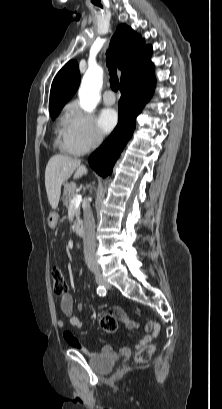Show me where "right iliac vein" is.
Wrapping results in <instances>:
<instances>
[{
	"mask_svg": "<svg viewBox=\"0 0 222 409\" xmlns=\"http://www.w3.org/2000/svg\"><path fill=\"white\" fill-rule=\"evenodd\" d=\"M96 282L104 287H109L110 284L108 283V281L106 280L105 277H103L102 275H96Z\"/></svg>",
	"mask_w": 222,
	"mask_h": 409,
	"instance_id": "obj_1",
	"label": "right iliac vein"
}]
</instances>
